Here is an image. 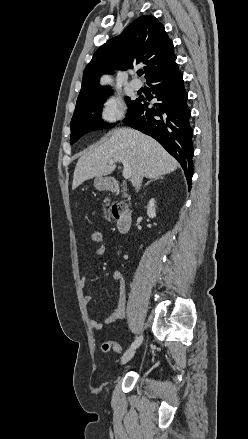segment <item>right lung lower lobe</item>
I'll return each instance as SVG.
<instances>
[{
  "label": "right lung lower lobe",
  "mask_w": 248,
  "mask_h": 439,
  "mask_svg": "<svg viewBox=\"0 0 248 439\" xmlns=\"http://www.w3.org/2000/svg\"><path fill=\"white\" fill-rule=\"evenodd\" d=\"M182 78L177 64L151 76L147 83L157 103L151 107L146 98L139 97L123 122L156 139L181 164L190 189L193 130Z\"/></svg>",
  "instance_id": "obj_1"
}]
</instances>
